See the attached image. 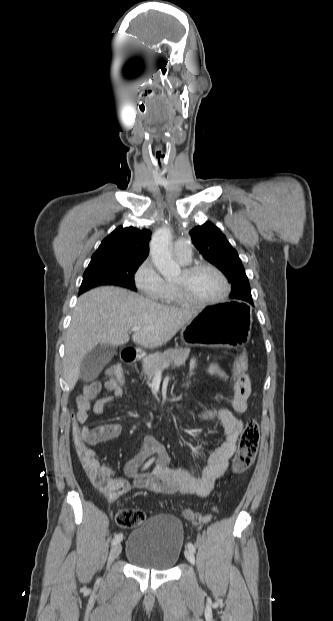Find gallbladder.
Masks as SVG:
<instances>
[{
  "mask_svg": "<svg viewBox=\"0 0 333 621\" xmlns=\"http://www.w3.org/2000/svg\"><path fill=\"white\" fill-rule=\"evenodd\" d=\"M116 353L117 347L114 345L101 344L96 346L81 363V380L88 382L95 379Z\"/></svg>",
  "mask_w": 333,
  "mask_h": 621,
  "instance_id": "obj_1",
  "label": "gallbladder"
}]
</instances>
